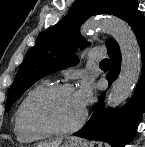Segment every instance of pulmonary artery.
<instances>
[{
    "label": "pulmonary artery",
    "instance_id": "obj_1",
    "mask_svg": "<svg viewBox=\"0 0 145 147\" xmlns=\"http://www.w3.org/2000/svg\"><path fill=\"white\" fill-rule=\"evenodd\" d=\"M105 55V51L100 48H94L88 53L89 58L93 61L103 59Z\"/></svg>",
    "mask_w": 145,
    "mask_h": 147
}]
</instances>
